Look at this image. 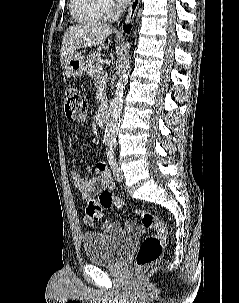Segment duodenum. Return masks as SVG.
<instances>
[{
    "mask_svg": "<svg viewBox=\"0 0 239 303\" xmlns=\"http://www.w3.org/2000/svg\"><path fill=\"white\" fill-rule=\"evenodd\" d=\"M107 112L102 110L97 116L98 125L104 127L106 125Z\"/></svg>",
    "mask_w": 239,
    "mask_h": 303,
    "instance_id": "obj_1",
    "label": "duodenum"
}]
</instances>
